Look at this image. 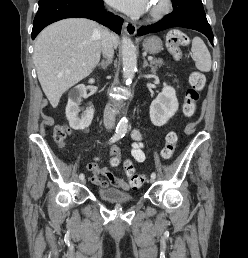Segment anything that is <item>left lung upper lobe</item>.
<instances>
[{"label":"left lung upper lobe","instance_id":"left-lung-upper-lobe-1","mask_svg":"<svg viewBox=\"0 0 248 258\" xmlns=\"http://www.w3.org/2000/svg\"><path fill=\"white\" fill-rule=\"evenodd\" d=\"M173 8L186 7L190 5H202L201 0H172Z\"/></svg>","mask_w":248,"mask_h":258}]
</instances>
